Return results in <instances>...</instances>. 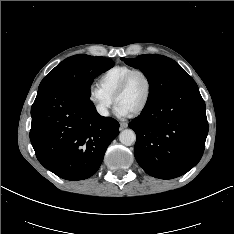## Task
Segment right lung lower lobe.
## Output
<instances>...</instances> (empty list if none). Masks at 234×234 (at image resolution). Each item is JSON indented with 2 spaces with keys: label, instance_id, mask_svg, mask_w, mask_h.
<instances>
[{
  "label": "right lung lower lobe",
  "instance_id": "obj_1",
  "mask_svg": "<svg viewBox=\"0 0 234 234\" xmlns=\"http://www.w3.org/2000/svg\"><path fill=\"white\" fill-rule=\"evenodd\" d=\"M31 116L30 140L37 159L67 180L92 176L119 134V123L100 116L69 84L38 90Z\"/></svg>",
  "mask_w": 234,
  "mask_h": 234
}]
</instances>
